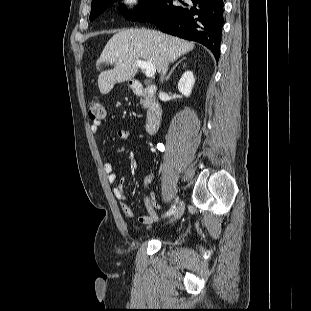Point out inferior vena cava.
I'll use <instances>...</instances> for the list:
<instances>
[{"instance_id":"inferior-vena-cava-1","label":"inferior vena cava","mask_w":311,"mask_h":311,"mask_svg":"<svg viewBox=\"0 0 311 311\" xmlns=\"http://www.w3.org/2000/svg\"><path fill=\"white\" fill-rule=\"evenodd\" d=\"M167 70H168V61H165L163 64V67H162V71H161V81H163V78H164Z\"/></svg>"}]
</instances>
